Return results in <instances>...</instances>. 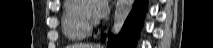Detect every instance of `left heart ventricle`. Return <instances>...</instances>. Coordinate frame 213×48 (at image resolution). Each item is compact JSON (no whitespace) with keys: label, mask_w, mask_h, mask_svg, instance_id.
<instances>
[{"label":"left heart ventricle","mask_w":213,"mask_h":48,"mask_svg":"<svg viewBox=\"0 0 213 48\" xmlns=\"http://www.w3.org/2000/svg\"><path fill=\"white\" fill-rule=\"evenodd\" d=\"M93 2H88L84 4V11L93 18Z\"/></svg>","instance_id":"left-heart-ventricle-1"}]
</instances>
